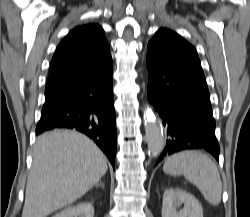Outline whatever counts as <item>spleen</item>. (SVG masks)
<instances>
[{"label":"spleen","instance_id":"obj_1","mask_svg":"<svg viewBox=\"0 0 250 217\" xmlns=\"http://www.w3.org/2000/svg\"><path fill=\"white\" fill-rule=\"evenodd\" d=\"M169 175L184 177L194 184L213 206L221 202L222 182L216 164L199 151H182L169 156L163 165Z\"/></svg>","mask_w":250,"mask_h":217}]
</instances>
